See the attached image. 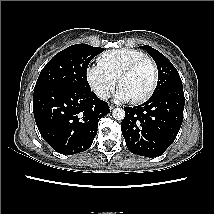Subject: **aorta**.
Returning <instances> with one entry per match:
<instances>
[{"label":"aorta","instance_id":"obj_1","mask_svg":"<svg viewBox=\"0 0 214 214\" xmlns=\"http://www.w3.org/2000/svg\"><path fill=\"white\" fill-rule=\"evenodd\" d=\"M112 115L116 120H123L125 117V111L122 108H115Z\"/></svg>","mask_w":214,"mask_h":214}]
</instances>
